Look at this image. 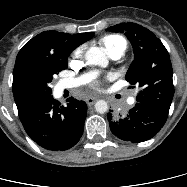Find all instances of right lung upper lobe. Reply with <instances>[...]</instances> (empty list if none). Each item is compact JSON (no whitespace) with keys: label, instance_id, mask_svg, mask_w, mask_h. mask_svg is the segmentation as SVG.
Masks as SVG:
<instances>
[{"label":"right lung upper lobe","instance_id":"obj_1","mask_svg":"<svg viewBox=\"0 0 187 187\" xmlns=\"http://www.w3.org/2000/svg\"><path fill=\"white\" fill-rule=\"evenodd\" d=\"M93 36L94 33L91 32L70 35L53 30L44 31L27 42L19 51L16 59L26 54L51 55L59 58H68L69 54L75 48L88 41ZM14 100L17 108L26 104L15 97Z\"/></svg>","mask_w":187,"mask_h":187}]
</instances>
